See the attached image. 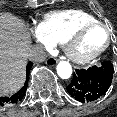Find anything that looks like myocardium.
<instances>
[{"instance_id":"1","label":"myocardium","mask_w":117,"mask_h":117,"mask_svg":"<svg viewBox=\"0 0 117 117\" xmlns=\"http://www.w3.org/2000/svg\"><path fill=\"white\" fill-rule=\"evenodd\" d=\"M93 27H102L107 31V39L105 44L96 51H93L88 54H79L75 51L74 45L79 40V38L90 28ZM113 31L110 26L101 22V21H93L88 22L77 28L64 42V50L68 58L78 64H86L101 54H103L112 42Z\"/></svg>"}]
</instances>
